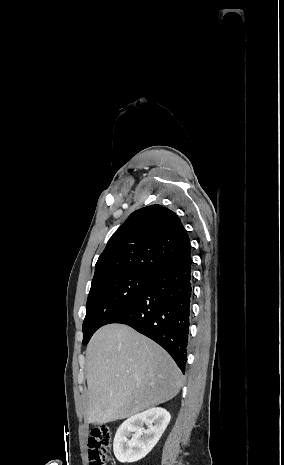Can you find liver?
<instances>
[{"instance_id":"6515ba94","label":"liver","mask_w":284,"mask_h":465,"mask_svg":"<svg viewBox=\"0 0 284 465\" xmlns=\"http://www.w3.org/2000/svg\"><path fill=\"white\" fill-rule=\"evenodd\" d=\"M87 423H110L166 403L179 393L181 373L159 345L126 325H106L87 351Z\"/></svg>"}]
</instances>
